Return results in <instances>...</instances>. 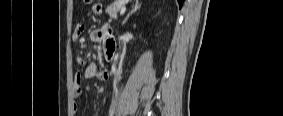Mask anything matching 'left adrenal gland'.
<instances>
[{
	"label": "left adrenal gland",
	"instance_id": "a2214340",
	"mask_svg": "<svg viewBox=\"0 0 283 116\" xmlns=\"http://www.w3.org/2000/svg\"><path fill=\"white\" fill-rule=\"evenodd\" d=\"M141 7V4L139 3V1H136L135 5L132 7L131 11L126 15V17L124 18L122 25H125L129 19V17L134 14L136 11H138Z\"/></svg>",
	"mask_w": 283,
	"mask_h": 116
}]
</instances>
